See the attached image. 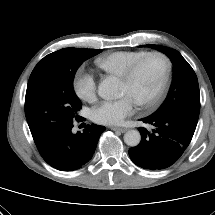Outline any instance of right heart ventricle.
Instances as JSON below:
<instances>
[{"mask_svg":"<svg viewBox=\"0 0 215 215\" xmlns=\"http://www.w3.org/2000/svg\"><path fill=\"white\" fill-rule=\"evenodd\" d=\"M145 53L146 51L142 50L116 51L98 58L96 64L106 73L120 77L136 59Z\"/></svg>","mask_w":215,"mask_h":215,"instance_id":"obj_1","label":"right heart ventricle"}]
</instances>
